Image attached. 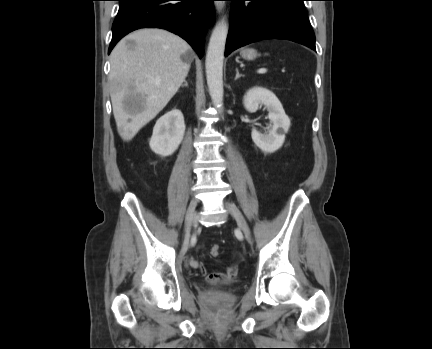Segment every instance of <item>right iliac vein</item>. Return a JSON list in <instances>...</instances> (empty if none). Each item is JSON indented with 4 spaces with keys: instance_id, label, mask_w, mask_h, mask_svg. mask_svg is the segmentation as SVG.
<instances>
[{
    "instance_id": "1",
    "label": "right iliac vein",
    "mask_w": 432,
    "mask_h": 349,
    "mask_svg": "<svg viewBox=\"0 0 432 349\" xmlns=\"http://www.w3.org/2000/svg\"><path fill=\"white\" fill-rule=\"evenodd\" d=\"M198 199L192 198L189 203L186 218H185V238L187 239L190 235V230L192 225H197L196 222V207H197Z\"/></svg>"
}]
</instances>
